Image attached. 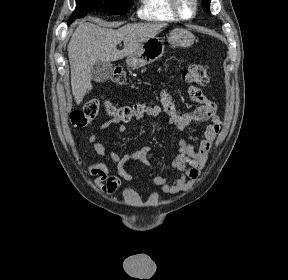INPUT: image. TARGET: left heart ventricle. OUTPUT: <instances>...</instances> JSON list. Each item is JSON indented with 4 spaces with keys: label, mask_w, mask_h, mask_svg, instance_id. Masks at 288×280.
Instances as JSON below:
<instances>
[{
    "label": "left heart ventricle",
    "mask_w": 288,
    "mask_h": 280,
    "mask_svg": "<svg viewBox=\"0 0 288 280\" xmlns=\"http://www.w3.org/2000/svg\"><path fill=\"white\" fill-rule=\"evenodd\" d=\"M180 9L183 15L189 16L192 12L193 6L190 0H180Z\"/></svg>",
    "instance_id": "b2bd125f"
}]
</instances>
